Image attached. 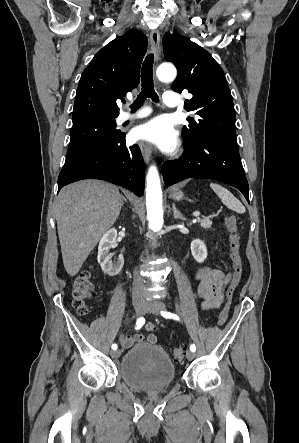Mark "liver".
<instances>
[{
  "instance_id": "obj_1",
  "label": "liver",
  "mask_w": 299,
  "mask_h": 443,
  "mask_svg": "<svg viewBox=\"0 0 299 443\" xmlns=\"http://www.w3.org/2000/svg\"><path fill=\"white\" fill-rule=\"evenodd\" d=\"M122 206L119 189L99 180L64 187L56 201L57 229L66 272L75 276Z\"/></svg>"
}]
</instances>
